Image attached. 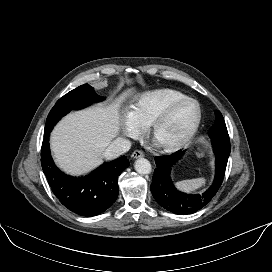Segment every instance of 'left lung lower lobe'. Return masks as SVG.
Wrapping results in <instances>:
<instances>
[{"instance_id": "obj_1", "label": "left lung lower lobe", "mask_w": 272, "mask_h": 272, "mask_svg": "<svg viewBox=\"0 0 272 272\" xmlns=\"http://www.w3.org/2000/svg\"><path fill=\"white\" fill-rule=\"evenodd\" d=\"M212 147L216 155V173L213 184L208 190L200 194H186L178 191L171 180V168L181 157L182 152L169 156L155 157L156 169L150 186L155 200L166 210L175 214H192L207 205L220 188L228 157L230 145L212 141Z\"/></svg>"}]
</instances>
